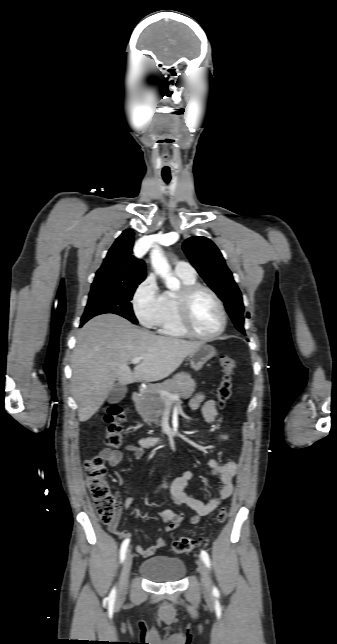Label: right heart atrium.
<instances>
[{"mask_svg":"<svg viewBox=\"0 0 337 644\" xmlns=\"http://www.w3.org/2000/svg\"><path fill=\"white\" fill-rule=\"evenodd\" d=\"M162 294L153 276L147 277L136 289L133 308L136 317L145 327H154L161 313Z\"/></svg>","mask_w":337,"mask_h":644,"instance_id":"d8ad5b80","label":"right heart atrium"}]
</instances>
